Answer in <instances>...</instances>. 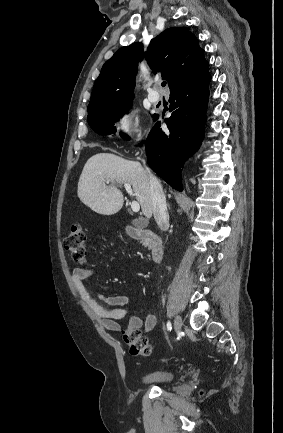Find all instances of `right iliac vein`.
<instances>
[{
  "instance_id": "obj_1",
  "label": "right iliac vein",
  "mask_w": 283,
  "mask_h": 433,
  "mask_svg": "<svg viewBox=\"0 0 283 433\" xmlns=\"http://www.w3.org/2000/svg\"><path fill=\"white\" fill-rule=\"evenodd\" d=\"M182 325H183V321H182L181 317L177 316L175 319V324H174L175 331L179 332L182 328Z\"/></svg>"
}]
</instances>
